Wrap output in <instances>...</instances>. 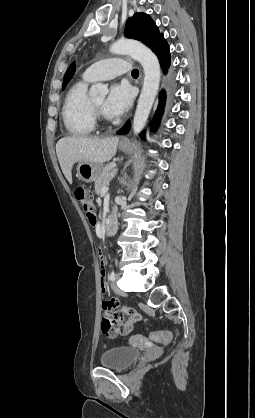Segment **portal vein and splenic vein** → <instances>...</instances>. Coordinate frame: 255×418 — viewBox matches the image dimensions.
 <instances>
[{
    "mask_svg": "<svg viewBox=\"0 0 255 418\" xmlns=\"http://www.w3.org/2000/svg\"><path fill=\"white\" fill-rule=\"evenodd\" d=\"M108 190H109V188H108V187H104V188L102 189V193H106Z\"/></svg>",
    "mask_w": 255,
    "mask_h": 418,
    "instance_id": "18ae733b",
    "label": "portal vein and splenic vein"
}]
</instances>
